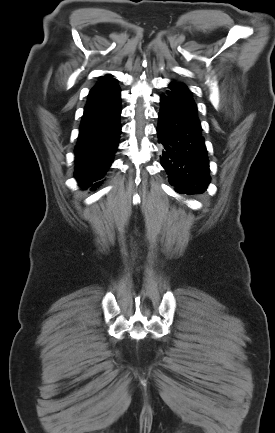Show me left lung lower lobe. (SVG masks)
Instances as JSON below:
<instances>
[{
    "label": "left lung lower lobe",
    "mask_w": 275,
    "mask_h": 433,
    "mask_svg": "<svg viewBox=\"0 0 275 433\" xmlns=\"http://www.w3.org/2000/svg\"><path fill=\"white\" fill-rule=\"evenodd\" d=\"M161 96L157 127L161 164L169 181L182 194H201L209 182V161L191 91L173 82Z\"/></svg>",
    "instance_id": "0a47b994"
}]
</instances>
